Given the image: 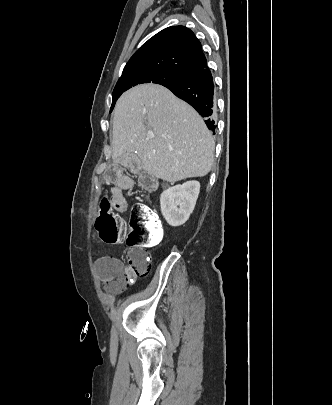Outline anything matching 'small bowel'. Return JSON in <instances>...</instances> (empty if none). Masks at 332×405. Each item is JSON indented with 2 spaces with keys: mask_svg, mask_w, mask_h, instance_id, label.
<instances>
[{
  "mask_svg": "<svg viewBox=\"0 0 332 405\" xmlns=\"http://www.w3.org/2000/svg\"><path fill=\"white\" fill-rule=\"evenodd\" d=\"M107 167L101 179L102 186H120L123 177V163L109 162ZM128 183L129 178L124 177V184L127 185ZM109 205L113 206V210L116 211L118 215H124L126 213V202L121 188L115 187L113 189L111 197L109 198ZM95 265L101 277L106 281L112 280L119 273L126 272V268L122 263L118 259L110 256H103L96 259ZM131 276L132 275H128L127 279L131 278Z\"/></svg>",
  "mask_w": 332,
  "mask_h": 405,
  "instance_id": "small-bowel-1",
  "label": "small bowel"
}]
</instances>
